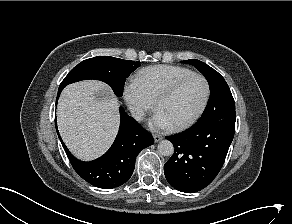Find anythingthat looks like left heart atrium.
<instances>
[{"mask_svg":"<svg viewBox=\"0 0 292 224\" xmlns=\"http://www.w3.org/2000/svg\"><path fill=\"white\" fill-rule=\"evenodd\" d=\"M172 125L169 122V120L165 117V115L157 110L154 114V116L152 117V119L150 120V127L152 129H156V130H160V129H168L170 128Z\"/></svg>","mask_w":292,"mask_h":224,"instance_id":"39dd6f15","label":"left heart atrium"}]
</instances>
